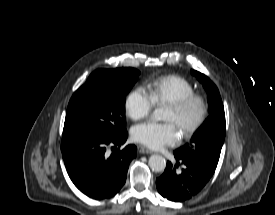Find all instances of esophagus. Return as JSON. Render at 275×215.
<instances>
[{
	"label": "esophagus",
	"mask_w": 275,
	"mask_h": 215,
	"mask_svg": "<svg viewBox=\"0 0 275 215\" xmlns=\"http://www.w3.org/2000/svg\"><path fill=\"white\" fill-rule=\"evenodd\" d=\"M138 151L142 154H151L152 151L144 146H138Z\"/></svg>",
	"instance_id": "34e87169"
}]
</instances>
